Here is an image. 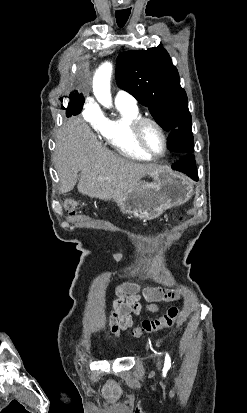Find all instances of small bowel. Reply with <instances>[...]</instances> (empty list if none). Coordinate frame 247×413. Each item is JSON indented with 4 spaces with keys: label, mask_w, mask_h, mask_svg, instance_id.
<instances>
[{
    "label": "small bowel",
    "mask_w": 247,
    "mask_h": 413,
    "mask_svg": "<svg viewBox=\"0 0 247 413\" xmlns=\"http://www.w3.org/2000/svg\"><path fill=\"white\" fill-rule=\"evenodd\" d=\"M115 295L117 299L108 315L109 329L115 337L134 325L133 314H139L143 311L142 299L151 302L146 307L147 311L156 312L158 307L154 304L155 302H172L181 297L179 292L170 289L159 287L139 289L138 282H120L115 287Z\"/></svg>",
    "instance_id": "obj_1"
}]
</instances>
